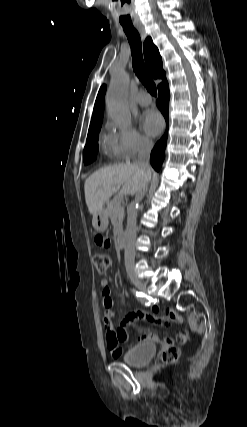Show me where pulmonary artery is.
<instances>
[{"mask_svg":"<svg viewBox=\"0 0 247 427\" xmlns=\"http://www.w3.org/2000/svg\"><path fill=\"white\" fill-rule=\"evenodd\" d=\"M137 103L140 106H147L151 103V97L148 94L142 93L137 97Z\"/></svg>","mask_w":247,"mask_h":427,"instance_id":"obj_1","label":"pulmonary artery"}]
</instances>
